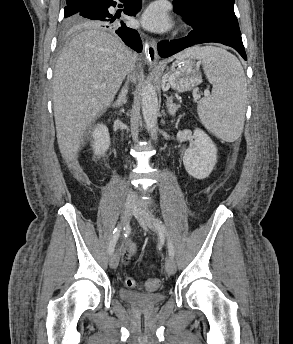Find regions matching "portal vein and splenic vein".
I'll return each instance as SVG.
<instances>
[{"mask_svg":"<svg viewBox=\"0 0 293 344\" xmlns=\"http://www.w3.org/2000/svg\"><path fill=\"white\" fill-rule=\"evenodd\" d=\"M209 94H210L209 90L204 91L205 96H208ZM194 97L197 99V98H199V95H195Z\"/></svg>","mask_w":293,"mask_h":344,"instance_id":"18ae733b","label":"portal vein and splenic vein"}]
</instances>
